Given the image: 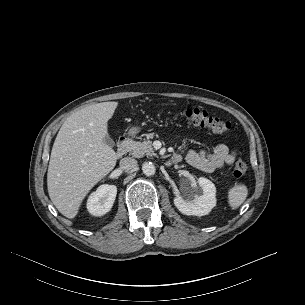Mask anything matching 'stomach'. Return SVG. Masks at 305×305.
Masks as SVG:
<instances>
[{"label": "stomach", "mask_w": 305, "mask_h": 305, "mask_svg": "<svg viewBox=\"0 0 305 305\" xmlns=\"http://www.w3.org/2000/svg\"><path fill=\"white\" fill-rule=\"evenodd\" d=\"M140 131V128L138 126H132L129 130H128V134L133 136L135 134H137Z\"/></svg>", "instance_id": "1"}]
</instances>
